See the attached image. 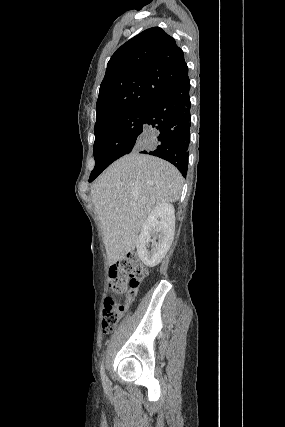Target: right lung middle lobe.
Wrapping results in <instances>:
<instances>
[{"label": "right lung middle lobe", "instance_id": "1", "mask_svg": "<svg viewBox=\"0 0 285 427\" xmlns=\"http://www.w3.org/2000/svg\"><path fill=\"white\" fill-rule=\"evenodd\" d=\"M147 108L142 106L120 113L94 127L95 167L89 181L112 162L140 144Z\"/></svg>", "mask_w": 285, "mask_h": 427}]
</instances>
